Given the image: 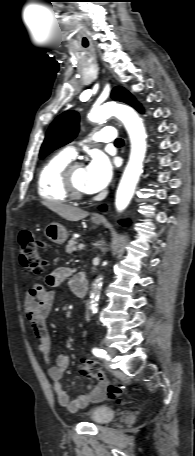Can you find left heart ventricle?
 Instances as JSON below:
<instances>
[{
  "instance_id": "1",
  "label": "left heart ventricle",
  "mask_w": 195,
  "mask_h": 456,
  "mask_svg": "<svg viewBox=\"0 0 195 456\" xmlns=\"http://www.w3.org/2000/svg\"><path fill=\"white\" fill-rule=\"evenodd\" d=\"M73 182L81 191L87 192L85 188V168H77L73 173Z\"/></svg>"
}]
</instances>
